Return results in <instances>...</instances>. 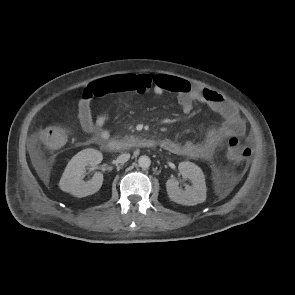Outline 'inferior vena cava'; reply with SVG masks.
I'll use <instances>...</instances> for the list:
<instances>
[{
	"label": "inferior vena cava",
	"instance_id": "602c4592",
	"mask_svg": "<svg viewBox=\"0 0 295 295\" xmlns=\"http://www.w3.org/2000/svg\"><path fill=\"white\" fill-rule=\"evenodd\" d=\"M130 159V154L129 153H124L118 156L117 162L118 163H125Z\"/></svg>",
	"mask_w": 295,
	"mask_h": 295
}]
</instances>
